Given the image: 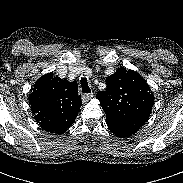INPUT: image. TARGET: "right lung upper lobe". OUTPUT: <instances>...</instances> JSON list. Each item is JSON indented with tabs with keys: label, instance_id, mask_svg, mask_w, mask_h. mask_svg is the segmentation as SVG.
Returning a JSON list of instances; mask_svg holds the SVG:
<instances>
[{
	"label": "right lung upper lobe",
	"instance_id": "right-lung-upper-lobe-1",
	"mask_svg": "<svg viewBox=\"0 0 183 183\" xmlns=\"http://www.w3.org/2000/svg\"><path fill=\"white\" fill-rule=\"evenodd\" d=\"M29 101L36 122L56 134L64 133L75 122L82 103L77 83L53 77V73L35 82Z\"/></svg>",
	"mask_w": 183,
	"mask_h": 183
}]
</instances>
